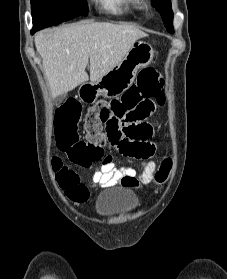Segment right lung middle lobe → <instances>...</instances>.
Here are the masks:
<instances>
[{"label":"right lung middle lobe","instance_id":"dd1d6c3e","mask_svg":"<svg viewBox=\"0 0 227 279\" xmlns=\"http://www.w3.org/2000/svg\"><path fill=\"white\" fill-rule=\"evenodd\" d=\"M33 28L57 25L88 14L85 0H31Z\"/></svg>","mask_w":227,"mask_h":279}]
</instances>
